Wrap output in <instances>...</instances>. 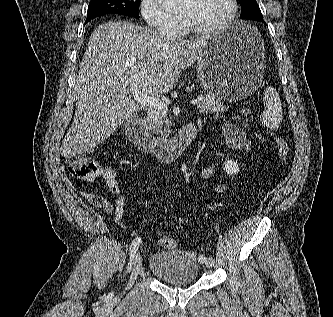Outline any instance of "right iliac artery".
I'll return each mask as SVG.
<instances>
[{"label":"right iliac artery","mask_w":333,"mask_h":317,"mask_svg":"<svg viewBox=\"0 0 333 317\" xmlns=\"http://www.w3.org/2000/svg\"><path fill=\"white\" fill-rule=\"evenodd\" d=\"M142 240L140 237H136L133 241H132V244H131V247H130V258H131V262H130V266H131V263H132V259L136 253V251L138 250L140 244H141ZM130 270V267L128 268V271Z\"/></svg>","instance_id":"1"}]
</instances>
